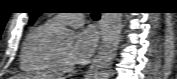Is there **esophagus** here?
Segmentation results:
<instances>
[{"mask_svg":"<svg viewBox=\"0 0 177 79\" xmlns=\"http://www.w3.org/2000/svg\"><path fill=\"white\" fill-rule=\"evenodd\" d=\"M98 26H99V30H100V34H101V45H100V49H101L102 41H103V37H104V17H103V15L101 16V18L99 20ZM98 53L93 58L91 65L89 66L87 72L84 75V79H92L93 78L94 73L96 71V63H97Z\"/></svg>","mask_w":177,"mask_h":79,"instance_id":"obj_1","label":"esophagus"}]
</instances>
